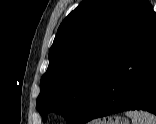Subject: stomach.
Returning a JSON list of instances; mask_svg holds the SVG:
<instances>
[{
	"mask_svg": "<svg viewBox=\"0 0 156 124\" xmlns=\"http://www.w3.org/2000/svg\"><path fill=\"white\" fill-rule=\"evenodd\" d=\"M106 124H129L128 120H123L121 117H115L114 120L110 119Z\"/></svg>",
	"mask_w": 156,
	"mask_h": 124,
	"instance_id": "obj_1",
	"label": "stomach"
}]
</instances>
